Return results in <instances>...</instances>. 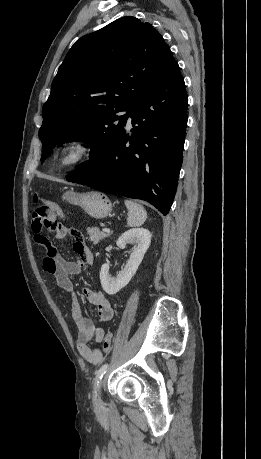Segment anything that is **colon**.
Here are the masks:
<instances>
[{
	"label": "colon",
	"mask_w": 261,
	"mask_h": 459,
	"mask_svg": "<svg viewBox=\"0 0 261 459\" xmlns=\"http://www.w3.org/2000/svg\"><path fill=\"white\" fill-rule=\"evenodd\" d=\"M33 200L35 203L40 202L42 205L34 213L33 222L29 224V229L37 238H42L44 236L42 228H48L53 225L56 216H63V210L56 202L43 199L38 194L34 195ZM112 343L113 334L107 332L102 345L104 354L108 355L111 352Z\"/></svg>",
	"instance_id": "obj_1"
}]
</instances>
